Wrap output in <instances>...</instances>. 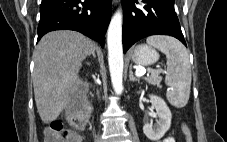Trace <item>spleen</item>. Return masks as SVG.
Returning <instances> with one entry per match:
<instances>
[{"instance_id":"1","label":"spleen","mask_w":227,"mask_h":142,"mask_svg":"<svg viewBox=\"0 0 227 142\" xmlns=\"http://www.w3.org/2000/svg\"><path fill=\"white\" fill-rule=\"evenodd\" d=\"M146 42L159 49L167 58L165 83L169 86L166 96L176 107H184L190 96L191 66L185 46L173 37L154 35Z\"/></svg>"}]
</instances>
